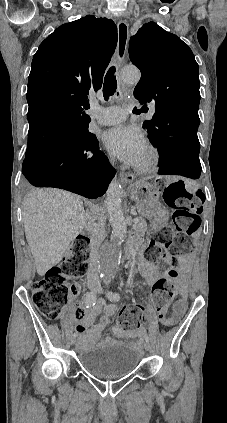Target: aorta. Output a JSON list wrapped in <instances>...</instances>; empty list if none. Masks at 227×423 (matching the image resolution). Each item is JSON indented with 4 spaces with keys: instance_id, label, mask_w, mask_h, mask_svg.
Instances as JSON below:
<instances>
[{
    "instance_id": "762f6f07",
    "label": "aorta",
    "mask_w": 227,
    "mask_h": 423,
    "mask_svg": "<svg viewBox=\"0 0 227 423\" xmlns=\"http://www.w3.org/2000/svg\"><path fill=\"white\" fill-rule=\"evenodd\" d=\"M121 76L124 83H137L140 80V72L135 67H126ZM121 190V185L115 179L106 192V210L112 226L113 243L104 246L100 251L99 270L104 279H110L115 275L120 263L118 245L127 235V225L120 200Z\"/></svg>"
}]
</instances>
